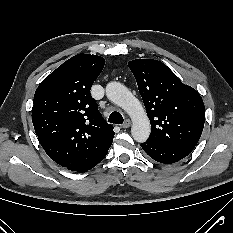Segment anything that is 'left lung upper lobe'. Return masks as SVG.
Segmentation results:
<instances>
[{
	"label": "left lung upper lobe",
	"instance_id": "5c2ea615",
	"mask_svg": "<svg viewBox=\"0 0 233 233\" xmlns=\"http://www.w3.org/2000/svg\"><path fill=\"white\" fill-rule=\"evenodd\" d=\"M136 78L151 123L148 140L191 152L204 127L200 94L162 62L135 59L128 63Z\"/></svg>",
	"mask_w": 233,
	"mask_h": 233
}]
</instances>
